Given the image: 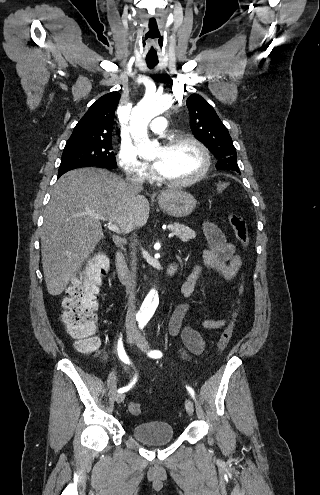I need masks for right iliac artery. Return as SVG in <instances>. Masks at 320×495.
Wrapping results in <instances>:
<instances>
[{
	"instance_id": "1",
	"label": "right iliac artery",
	"mask_w": 320,
	"mask_h": 495,
	"mask_svg": "<svg viewBox=\"0 0 320 495\" xmlns=\"http://www.w3.org/2000/svg\"><path fill=\"white\" fill-rule=\"evenodd\" d=\"M118 355H119V358L121 359V361H123L124 363L126 364H130V360H129V357L128 355L126 354L125 350H124V347H123V343H122V339L120 338L118 340ZM134 382H132L131 384H129L128 386L126 387H122L118 390V393H124L126 391H128L131 386L133 385Z\"/></svg>"
}]
</instances>
